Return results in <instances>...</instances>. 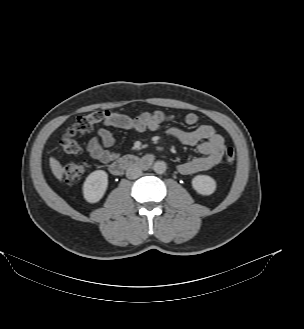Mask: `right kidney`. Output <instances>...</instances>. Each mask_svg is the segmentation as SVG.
Segmentation results:
<instances>
[{
    "label": "right kidney",
    "mask_w": 304,
    "mask_h": 329,
    "mask_svg": "<svg viewBox=\"0 0 304 329\" xmlns=\"http://www.w3.org/2000/svg\"><path fill=\"white\" fill-rule=\"evenodd\" d=\"M108 186V175L103 170H96L88 175L83 184V195L89 203L98 202Z\"/></svg>",
    "instance_id": "right-kidney-1"
}]
</instances>
